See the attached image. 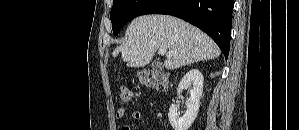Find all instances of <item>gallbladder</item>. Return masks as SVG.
<instances>
[{
	"instance_id": "1",
	"label": "gallbladder",
	"mask_w": 299,
	"mask_h": 130,
	"mask_svg": "<svg viewBox=\"0 0 299 130\" xmlns=\"http://www.w3.org/2000/svg\"><path fill=\"white\" fill-rule=\"evenodd\" d=\"M151 66L154 70H159L163 67V65L159 62H154Z\"/></svg>"
}]
</instances>
